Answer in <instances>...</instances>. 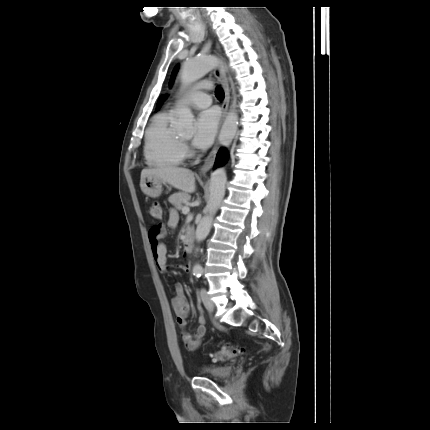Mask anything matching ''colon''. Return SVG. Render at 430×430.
<instances>
[{"instance_id":"1","label":"colon","mask_w":430,"mask_h":430,"mask_svg":"<svg viewBox=\"0 0 430 430\" xmlns=\"http://www.w3.org/2000/svg\"><path fill=\"white\" fill-rule=\"evenodd\" d=\"M150 214L153 218L160 220L162 218V209L158 203H153L150 206ZM269 348V344L266 343L264 349L267 350ZM241 354V349L234 346H225L222 349L211 353L210 357L213 361H228L231 360L238 355Z\"/></svg>"}]
</instances>
